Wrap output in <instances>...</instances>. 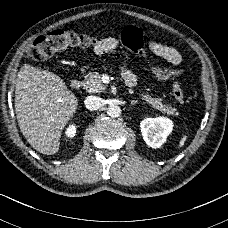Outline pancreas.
<instances>
[{
	"label": "pancreas",
	"instance_id": "pancreas-1",
	"mask_svg": "<svg viewBox=\"0 0 228 228\" xmlns=\"http://www.w3.org/2000/svg\"><path fill=\"white\" fill-rule=\"evenodd\" d=\"M84 89L87 90L89 93H98L104 90V85L101 80L100 73H90L88 77L85 79ZM139 96L145 100L152 108H155L161 111L163 114L167 116H177L179 112L176 108L163 103L161 99H157L155 97H151L142 90L139 91Z\"/></svg>",
	"mask_w": 228,
	"mask_h": 228
}]
</instances>
